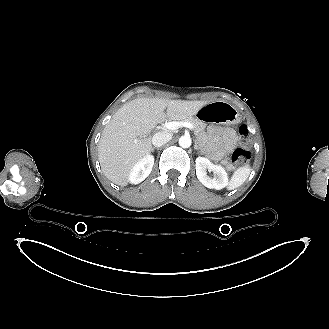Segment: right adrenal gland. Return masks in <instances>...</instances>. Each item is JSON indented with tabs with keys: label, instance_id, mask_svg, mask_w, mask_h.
<instances>
[{
	"label": "right adrenal gland",
	"instance_id": "1",
	"mask_svg": "<svg viewBox=\"0 0 329 329\" xmlns=\"http://www.w3.org/2000/svg\"><path fill=\"white\" fill-rule=\"evenodd\" d=\"M155 149L159 150L158 147H152V148H151V151H154Z\"/></svg>",
	"mask_w": 329,
	"mask_h": 329
}]
</instances>
